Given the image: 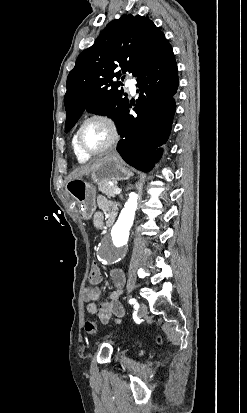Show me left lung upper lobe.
Returning a JSON list of instances; mask_svg holds the SVG:
<instances>
[{"label":"left lung upper lobe","mask_w":247,"mask_h":413,"mask_svg":"<svg viewBox=\"0 0 247 413\" xmlns=\"http://www.w3.org/2000/svg\"><path fill=\"white\" fill-rule=\"evenodd\" d=\"M171 45L164 34L148 18L124 14L111 21L95 44L77 58L67 77L64 105L69 132L82 113L111 117L119 128L129 105L127 94L118 90L125 73L141 74L155 56ZM125 96V97H123Z\"/></svg>","instance_id":"left-lung-upper-lobe-1"}]
</instances>
